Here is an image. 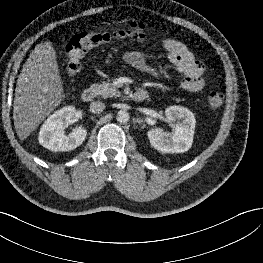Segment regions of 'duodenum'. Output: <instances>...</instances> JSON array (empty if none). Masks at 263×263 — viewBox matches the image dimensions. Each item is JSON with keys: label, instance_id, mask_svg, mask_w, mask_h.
<instances>
[{"label": "duodenum", "instance_id": "410a0bca", "mask_svg": "<svg viewBox=\"0 0 263 263\" xmlns=\"http://www.w3.org/2000/svg\"><path fill=\"white\" fill-rule=\"evenodd\" d=\"M95 97V90L91 87L85 88L81 93V98L84 102H91ZM148 97V92L139 89L132 94V99L137 102H142Z\"/></svg>", "mask_w": 263, "mask_h": 263}]
</instances>
